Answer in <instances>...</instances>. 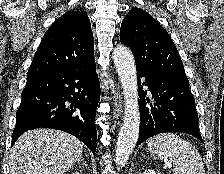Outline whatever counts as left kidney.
I'll return each instance as SVG.
<instances>
[{"mask_svg":"<svg viewBox=\"0 0 224 174\" xmlns=\"http://www.w3.org/2000/svg\"><path fill=\"white\" fill-rule=\"evenodd\" d=\"M142 174H160V173L159 172L157 173L152 169H146Z\"/></svg>","mask_w":224,"mask_h":174,"instance_id":"obj_1","label":"left kidney"}]
</instances>
